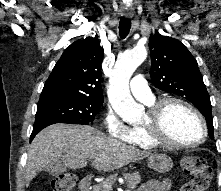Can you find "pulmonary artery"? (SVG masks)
Listing matches in <instances>:
<instances>
[{"label": "pulmonary artery", "mask_w": 221, "mask_h": 191, "mask_svg": "<svg viewBox=\"0 0 221 191\" xmlns=\"http://www.w3.org/2000/svg\"><path fill=\"white\" fill-rule=\"evenodd\" d=\"M130 91L136 99L144 103L148 104L154 100V96L142 75H136L131 80Z\"/></svg>", "instance_id": "pulmonary-artery-1"}]
</instances>
